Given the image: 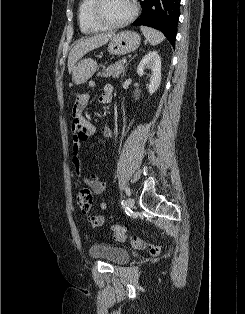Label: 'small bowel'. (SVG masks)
Listing matches in <instances>:
<instances>
[{
    "mask_svg": "<svg viewBox=\"0 0 245 314\" xmlns=\"http://www.w3.org/2000/svg\"><path fill=\"white\" fill-rule=\"evenodd\" d=\"M90 88H95L96 83L94 81L89 82ZM113 87L110 84L105 85L103 92L100 94L98 100L101 104L110 103L112 100ZM90 100V95L85 92H77L74 95L72 103V126L71 131L73 134V147L72 157L75 174L78 179L86 182L93 192L97 195H101L106 190V183L101 181L96 175H85L81 169L80 155L82 152V144L92 137H114V132L109 127H97L94 123L86 119L84 110ZM100 207L103 210L108 208L107 203L102 200ZM86 219L90 225L94 228L100 227L105 223V216L95 215L91 212L85 214Z\"/></svg>",
    "mask_w": 245,
    "mask_h": 314,
    "instance_id": "c3829d8e",
    "label": "small bowel"
}]
</instances>
